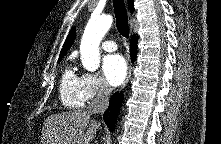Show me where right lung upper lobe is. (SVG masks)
Returning a JSON list of instances; mask_svg holds the SVG:
<instances>
[{"label":"right lung upper lobe","mask_w":221,"mask_h":144,"mask_svg":"<svg viewBox=\"0 0 221 144\" xmlns=\"http://www.w3.org/2000/svg\"><path fill=\"white\" fill-rule=\"evenodd\" d=\"M134 0H128V6L131 12L134 11ZM75 35H76V30L75 28H72V30L70 31V33L67 36V39L63 45V48L61 50L60 56L58 61H61L62 58L64 57V55L66 54V52L69 50V48L71 47V45L73 44V41L75 39Z\"/></svg>","instance_id":"right-lung-upper-lobe-1"}]
</instances>
